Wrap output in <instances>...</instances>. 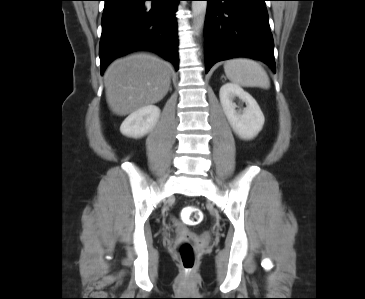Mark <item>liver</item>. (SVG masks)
Wrapping results in <instances>:
<instances>
[{
	"label": "liver",
	"instance_id": "obj_1",
	"mask_svg": "<svg viewBox=\"0 0 365 299\" xmlns=\"http://www.w3.org/2000/svg\"><path fill=\"white\" fill-rule=\"evenodd\" d=\"M171 65L150 53H137L112 63L105 74L110 109L124 116L161 101L170 89Z\"/></svg>",
	"mask_w": 365,
	"mask_h": 299
}]
</instances>
